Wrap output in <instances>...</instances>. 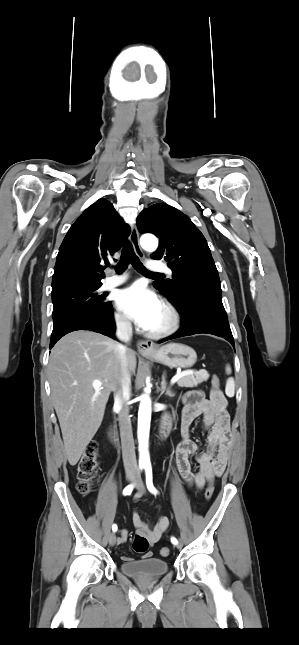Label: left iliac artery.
Masks as SVG:
<instances>
[{
	"mask_svg": "<svg viewBox=\"0 0 299 645\" xmlns=\"http://www.w3.org/2000/svg\"><path fill=\"white\" fill-rule=\"evenodd\" d=\"M144 468H145V472H146V485H147V488L151 493L157 494V490L153 485L152 467H151L150 464H147V465H145ZM171 542L173 544H175V545L178 543V541H177V539L175 537H171Z\"/></svg>",
	"mask_w": 299,
	"mask_h": 645,
	"instance_id": "left-iliac-artery-1",
	"label": "left iliac artery"
}]
</instances>
